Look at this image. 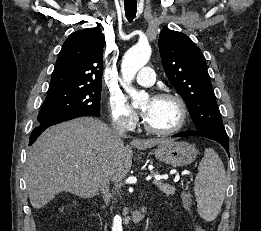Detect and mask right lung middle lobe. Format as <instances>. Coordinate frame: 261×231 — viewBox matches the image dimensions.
Here are the masks:
<instances>
[{
  "label": "right lung middle lobe",
  "instance_id": "dd1d6c3e",
  "mask_svg": "<svg viewBox=\"0 0 261 231\" xmlns=\"http://www.w3.org/2000/svg\"><path fill=\"white\" fill-rule=\"evenodd\" d=\"M101 86L49 88L38 115L44 123L73 114L100 115Z\"/></svg>",
  "mask_w": 261,
  "mask_h": 231
}]
</instances>
